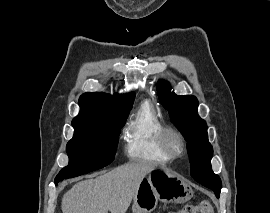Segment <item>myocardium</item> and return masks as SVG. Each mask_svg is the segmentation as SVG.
<instances>
[{
  "label": "myocardium",
  "instance_id": "myocardium-1",
  "mask_svg": "<svg viewBox=\"0 0 270 213\" xmlns=\"http://www.w3.org/2000/svg\"><path fill=\"white\" fill-rule=\"evenodd\" d=\"M172 139L178 142V149L172 147ZM159 145L161 150L171 159L178 158L186 152V141L183 134L171 126H165L160 132Z\"/></svg>",
  "mask_w": 270,
  "mask_h": 213
}]
</instances>
